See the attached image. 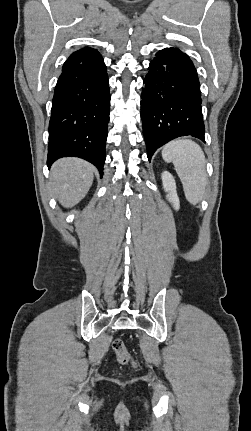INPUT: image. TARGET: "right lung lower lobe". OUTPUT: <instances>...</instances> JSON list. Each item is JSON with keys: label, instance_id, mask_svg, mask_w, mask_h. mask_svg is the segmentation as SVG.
I'll list each match as a JSON object with an SVG mask.
<instances>
[{"label": "right lung lower lobe", "instance_id": "1", "mask_svg": "<svg viewBox=\"0 0 251 431\" xmlns=\"http://www.w3.org/2000/svg\"><path fill=\"white\" fill-rule=\"evenodd\" d=\"M110 93L104 60L84 48L64 63L52 101L48 167L61 157L75 156L94 164L100 176L105 162Z\"/></svg>", "mask_w": 251, "mask_h": 431}]
</instances>
